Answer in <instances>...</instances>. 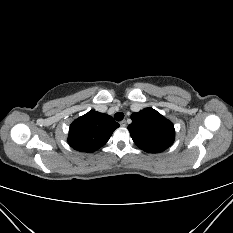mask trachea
<instances>
[{
    "mask_svg": "<svg viewBox=\"0 0 233 233\" xmlns=\"http://www.w3.org/2000/svg\"><path fill=\"white\" fill-rule=\"evenodd\" d=\"M124 118V114L122 112H117L115 115H114V119L116 121H121L122 119Z\"/></svg>",
    "mask_w": 233,
    "mask_h": 233,
    "instance_id": "1",
    "label": "trachea"
}]
</instances>
